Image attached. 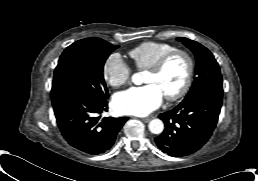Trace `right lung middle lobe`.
Returning <instances> with one entry per match:
<instances>
[{
  "mask_svg": "<svg viewBox=\"0 0 258 181\" xmlns=\"http://www.w3.org/2000/svg\"><path fill=\"white\" fill-rule=\"evenodd\" d=\"M118 47L100 38H86L68 46L55 68L52 91L64 88L96 101H106L109 94L103 67Z\"/></svg>",
  "mask_w": 258,
  "mask_h": 181,
  "instance_id": "obj_1",
  "label": "right lung middle lobe"
}]
</instances>
